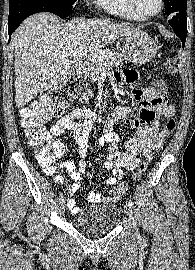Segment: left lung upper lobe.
<instances>
[{"label":"left lung upper lobe","instance_id":"5c2ea615","mask_svg":"<svg viewBox=\"0 0 195 270\" xmlns=\"http://www.w3.org/2000/svg\"><path fill=\"white\" fill-rule=\"evenodd\" d=\"M167 16H171L177 12L186 13L187 0H164Z\"/></svg>","mask_w":195,"mask_h":270}]
</instances>
